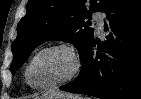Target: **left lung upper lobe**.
Instances as JSON below:
<instances>
[{
	"mask_svg": "<svg viewBox=\"0 0 141 99\" xmlns=\"http://www.w3.org/2000/svg\"><path fill=\"white\" fill-rule=\"evenodd\" d=\"M116 0H29L27 14L17 26V38L13 42L11 72L23 65L31 51L46 40H64L73 43L80 57L93 40L94 30L85 19L93 12H104Z\"/></svg>",
	"mask_w": 141,
	"mask_h": 99,
	"instance_id": "left-lung-upper-lobe-1",
	"label": "left lung upper lobe"
}]
</instances>
